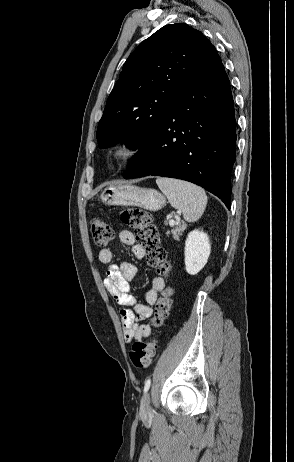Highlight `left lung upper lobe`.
I'll return each instance as SVG.
<instances>
[{"mask_svg": "<svg viewBox=\"0 0 294 462\" xmlns=\"http://www.w3.org/2000/svg\"><path fill=\"white\" fill-rule=\"evenodd\" d=\"M221 62L215 47L187 24L165 25L126 60L97 128L100 147L139 149L153 139L179 95Z\"/></svg>", "mask_w": 294, "mask_h": 462, "instance_id": "obj_1", "label": "left lung upper lobe"}]
</instances>
